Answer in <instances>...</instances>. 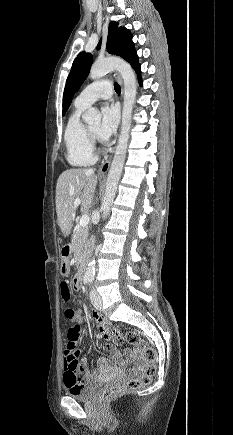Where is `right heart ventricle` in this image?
Returning a JSON list of instances; mask_svg holds the SVG:
<instances>
[{
    "instance_id": "right-heart-ventricle-1",
    "label": "right heart ventricle",
    "mask_w": 233,
    "mask_h": 435,
    "mask_svg": "<svg viewBox=\"0 0 233 435\" xmlns=\"http://www.w3.org/2000/svg\"><path fill=\"white\" fill-rule=\"evenodd\" d=\"M85 108L75 104L64 131L66 159L74 167H88L97 161V154L87 135L86 125L81 120V113Z\"/></svg>"
}]
</instances>
